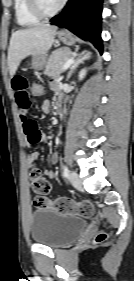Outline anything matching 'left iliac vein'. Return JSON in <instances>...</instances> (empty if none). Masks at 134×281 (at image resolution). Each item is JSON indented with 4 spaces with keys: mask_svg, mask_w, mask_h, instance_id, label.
I'll use <instances>...</instances> for the list:
<instances>
[{
    "mask_svg": "<svg viewBox=\"0 0 134 281\" xmlns=\"http://www.w3.org/2000/svg\"><path fill=\"white\" fill-rule=\"evenodd\" d=\"M70 181L75 188L81 187V180L76 172L70 173Z\"/></svg>",
    "mask_w": 134,
    "mask_h": 281,
    "instance_id": "4c4485c4",
    "label": "left iliac vein"
}]
</instances>
